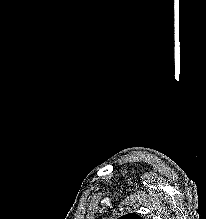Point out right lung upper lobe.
Returning <instances> with one entry per match:
<instances>
[{"label": "right lung upper lobe", "mask_w": 206, "mask_h": 219, "mask_svg": "<svg viewBox=\"0 0 206 219\" xmlns=\"http://www.w3.org/2000/svg\"><path fill=\"white\" fill-rule=\"evenodd\" d=\"M118 219H143V218L137 214L129 213L119 217Z\"/></svg>", "instance_id": "obj_1"}]
</instances>
